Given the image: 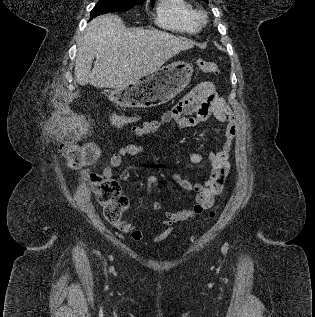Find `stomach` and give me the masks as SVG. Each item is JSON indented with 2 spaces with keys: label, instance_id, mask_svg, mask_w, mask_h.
<instances>
[{
  "label": "stomach",
  "instance_id": "0dacf381",
  "mask_svg": "<svg viewBox=\"0 0 315 317\" xmlns=\"http://www.w3.org/2000/svg\"><path fill=\"white\" fill-rule=\"evenodd\" d=\"M193 68L186 61L172 62L142 77L133 84H123L117 98L127 95L126 108H132L134 98L138 107L149 108L167 103L189 84Z\"/></svg>",
  "mask_w": 315,
  "mask_h": 317
}]
</instances>
